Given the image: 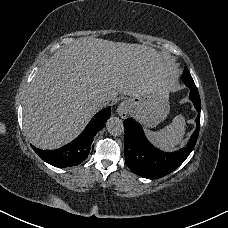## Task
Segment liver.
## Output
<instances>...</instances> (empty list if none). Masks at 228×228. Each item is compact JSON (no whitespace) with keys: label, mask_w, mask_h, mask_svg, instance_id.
<instances>
[{"label":"liver","mask_w":228,"mask_h":228,"mask_svg":"<svg viewBox=\"0 0 228 228\" xmlns=\"http://www.w3.org/2000/svg\"><path fill=\"white\" fill-rule=\"evenodd\" d=\"M178 74L166 52L77 39L47 59L30 83L23 106L27 137L37 148H58L75 138L96 112L89 94L114 99L117 92L135 97L158 90L167 96Z\"/></svg>","instance_id":"obj_1"}]
</instances>
